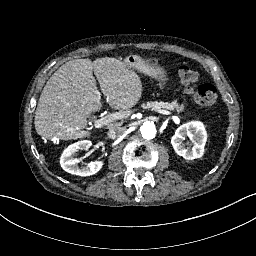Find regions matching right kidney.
Here are the masks:
<instances>
[{
    "mask_svg": "<svg viewBox=\"0 0 256 256\" xmlns=\"http://www.w3.org/2000/svg\"><path fill=\"white\" fill-rule=\"evenodd\" d=\"M92 145L90 140H81L69 145L60 157V165L66 172L79 176L96 174L103 166L102 161H94L86 166L79 167V159L73 158V154L79 150H88Z\"/></svg>",
    "mask_w": 256,
    "mask_h": 256,
    "instance_id": "right-kidney-1",
    "label": "right kidney"
}]
</instances>
